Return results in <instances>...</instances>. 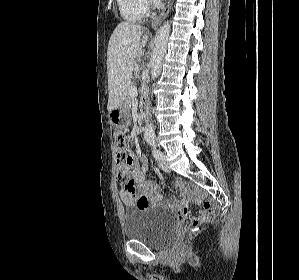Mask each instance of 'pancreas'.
I'll list each match as a JSON object with an SVG mask.
<instances>
[{"label": "pancreas", "mask_w": 299, "mask_h": 280, "mask_svg": "<svg viewBox=\"0 0 299 280\" xmlns=\"http://www.w3.org/2000/svg\"><path fill=\"white\" fill-rule=\"evenodd\" d=\"M133 86L132 83L129 84L128 86V90H130V88ZM131 100H132V97L130 96V94H127V98H126V101L127 103L130 105L131 104Z\"/></svg>", "instance_id": "obj_1"}]
</instances>
